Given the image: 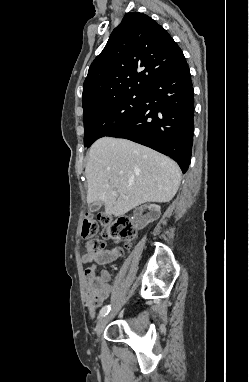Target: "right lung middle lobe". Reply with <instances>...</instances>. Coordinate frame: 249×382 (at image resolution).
<instances>
[{"instance_id": "right-lung-middle-lobe-1", "label": "right lung middle lobe", "mask_w": 249, "mask_h": 382, "mask_svg": "<svg viewBox=\"0 0 249 382\" xmlns=\"http://www.w3.org/2000/svg\"><path fill=\"white\" fill-rule=\"evenodd\" d=\"M144 100L145 90H137L83 108L85 147H90L97 139L108 136L127 123L140 110Z\"/></svg>"}]
</instances>
